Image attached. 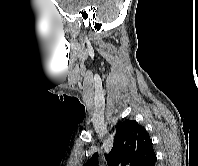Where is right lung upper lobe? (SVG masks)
I'll list each match as a JSON object with an SVG mask.
<instances>
[{
  "label": "right lung upper lobe",
  "instance_id": "obj_1",
  "mask_svg": "<svg viewBox=\"0 0 198 166\" xmlns=\"http://www.w3.org/2000/svg\"><path fill=\"white\" fill-rule=\"evenodd\" d=\"M154 155L146 130L135 120H125L117 126L112 150L105 159L108 166H145ZM97 160L94 153L85 166H98Z\"/></svg>",
  "mask_w": 198,
  "mask_h": 166
}]
</instances>
